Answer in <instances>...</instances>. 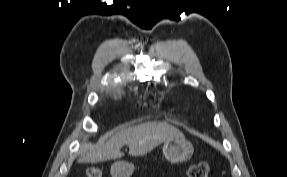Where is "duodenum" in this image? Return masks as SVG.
I'll use <instances>...</instances> for the list:
<instances>
[{"mask_svg":"<svg viewBox=\"0 0 287 177\" xmlns=\"http://www.w3.org/2000/svg\"><path fill=\"white\" fill-rule=\"evenodd\" d=\"M119 174H125V172L122 170H119Z\"/></svg>","mask_w":287,"mask_h":177,"instance_id":"410a0bca","label":"duodenum"}]
</instances>
